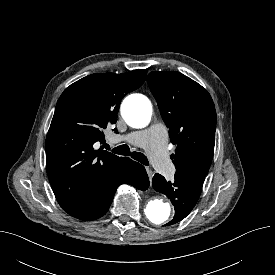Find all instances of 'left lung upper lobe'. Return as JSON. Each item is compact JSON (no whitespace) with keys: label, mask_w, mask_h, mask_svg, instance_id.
<instances>
[{"label":"left lung upper lobe","mask_w":275,"mask_h":275,"mask_svg":"<svg viewBox=\"0 0 275 275\" xmlns=\"http://www.w3.org/2000/svg\"><path fill=\"white\" fill-rule=\"evenodd\" d=\"M147 82L176 146L171 156L175 174L203 183L215 145L216 111L210 94L176 71H153Z\"/></svg>","instance_id":"1"}]
</instances>
